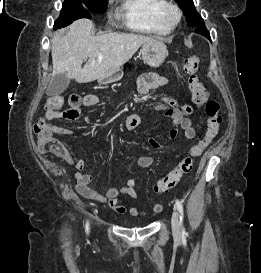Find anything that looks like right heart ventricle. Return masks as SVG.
I'll return each mask as SVG.
<instances>
[{
	"label": "right heart ventricle",
	"mask_w": 261,
	"mask_h": 273,
	"mask_svg": "<svg viewBox=\"0 0 261 273\" xmlns=\"http://www.w3.org/2000/svg\"><path fill=\"white\" fill-rule=\"evenodd\" d=\"M166 0H120L117 16L128 29L152 35H166L171 29L160 19V10Z\"/></svg>",
	"instance_id": "e07e8e85"
}]
</instances>
